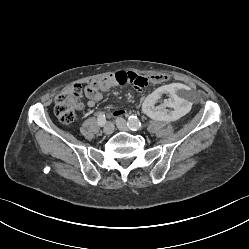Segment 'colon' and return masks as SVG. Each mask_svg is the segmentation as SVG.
Here are the masks:
<instances>
[{"label": "colon", "mask_w": 249, "mask_h": 249, "mask_svg": "<svg viewBox=\"0 0 249 249\" xmlns=\"http://www.w3.org/2000/svg\"><path fill=\"white\" fill-rule=\"evenodd\" d=\"M172 75L152 74L146 77L133 76L129 84L134 88L141 90L149 83H164L172 82ZM83 94V88L79 84L71 85L56 96L54 113L60 122L70 124L75 120V108L77 107Z\"/></svg>", "instance_id": "obj_1"}]
</instances>
